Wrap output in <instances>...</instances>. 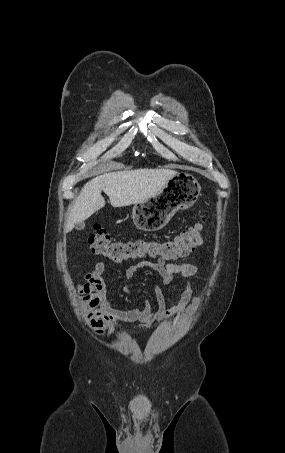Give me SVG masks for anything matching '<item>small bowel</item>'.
Wrapping results in <instances>:
<instances>
[{
    "label": "small bowel",
    "mask_w": 285,
    "mask_h": 453,
    "mask_svg": "<svg viewBox=\"0 0 285 453\" xmlns=\"http://www.w3.org/2000/svg\"><path fill=\"white\" fill-rule=\"evenodd\" d=\"M142 268H150L157 272L163 284H169L175 275L190 278L199 271L197 266L190 263L177 264L164 260H158L155 263L141 261L126 270V280L130 281L135 273ZM104 276V265L102 262H98L92 271L85 273L86 282L77 285V290L80 293L78 303L81 314L99 336H105L107 331L122 327L124 322H139V326L135 329H145L155 322L162 321L170 316L180 315L184 311L192 313L195 309L194 286L191 282H188L179 302L171 308H167L165 297L160 288L154 286L156 310H152L147 300L140 307L121 310L117 303L108 301V287ZM122 291L129 294L128 285L124 286Z\"/></svg>",
    "instance_id": "small-bowel-1"
}]
</instances>
